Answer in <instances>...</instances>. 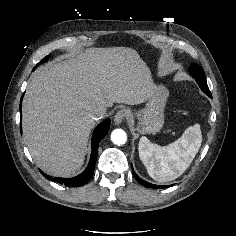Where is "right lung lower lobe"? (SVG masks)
<instances>
[{"label":"right lung lower lobe","mask_w":236,"mask_h":236,"mask_svg":"<svg viewBox=\"0 0 236 236\" xmlns=\"http://www.w3.org/2000/svg\"><path fill=\"white\" fill-rule=\"evenodd\" d=\"M22 98H21V101H22ZM20 113H21V102H20ZM110 123H111V120L106 119L102 123H100L94 130L93 136H92V150H91L90 162L83 173L73 178H58V177L53 178L41 172L42 175L51 181L58 182L60 184H64L69 187H79L86 184L89 181V179L92 177L93 172H94L99 141L103 139V137L107 134L110 128Z\"/></svg>","instance_id":"right-lung-lower-lobe-1"}]
</instances>
